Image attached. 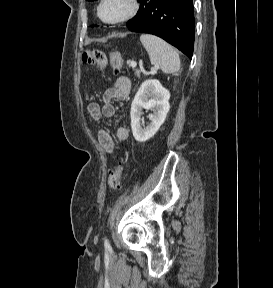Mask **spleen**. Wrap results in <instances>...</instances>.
I'll list each match as a JSON object with an SVG mask.
<instances>
[{
  "label": "spleen",
  "mask_w": 273,
  "mask_h": 288,
  "mask_svg": "<svg viewBox=\"0 0 273 288\" xmlns=\"http://www.w3.org/2000/svg\"><path fill=\"white\" fill-rule=\"evenodd\" d=\"M140 41L148 52L152 64L159 65L164 73L179 74L181 69L180 58L171 45L150 34H142Z\"/></svg>",
  "instance_id": "spleen-1"
}]
</instances>
